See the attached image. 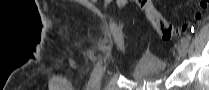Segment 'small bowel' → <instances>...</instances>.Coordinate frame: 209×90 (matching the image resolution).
I'll list each match as a JSON object with an SVG mask.
<instances>
[{"instance_id": "obj_1", "label": "small bowel", "mask_w": 209, "mask_h": 90, "mask_svg": "<svg viewBox=\"0 0 209 90\" xmlns=\"http://www.w3.org/2000/svg\"><path fill=\"white\" fill-rule=\"evenodd\" d=\"M110 4V1L109 0H106L103 4L104 8H107Z\"/></svg>"}]
</instances>
